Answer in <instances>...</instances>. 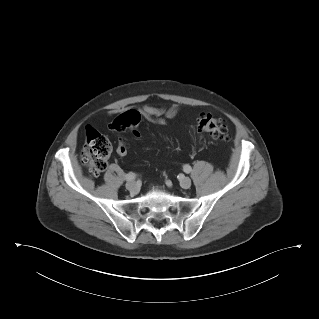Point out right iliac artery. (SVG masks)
Returning a JSON list of instances; mask_svg holds the SVG:
<instances>
[{
    "label": "right iliac artery",
    "instance_id": "right-iliac-artery-1",
    "mask_svg": "<svg viewBox=\"0 0 319 319\" xmlns=\"http://www.w3.org/2000/svg\"><path fill=\"white\" fill-rule=\"evenodd\" d=\"M135 178H136V174L133 173V172H130V173L126 174V176H125V180H126V181H132V180H134Z\"/></svg>",
    "mask_w": 319,
    "mask_h": 319
}]
</instances>
